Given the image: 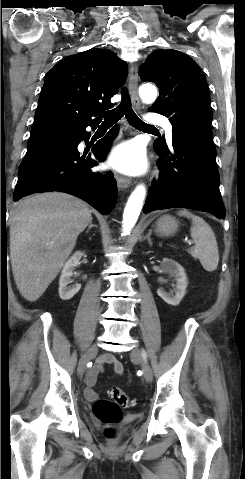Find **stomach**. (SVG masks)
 Listing matches in <instances>:
<instances>
[{
	"label": "stomach",
	"instance_id": "obj_1",
	"mask_svg": "<svg viewBox=\"0 0 245 479\" xmlns=\"http://www.w3.org/2000/svg\"><path fill=\"white\" fill-rule=\"evenodd\" d=\"M178 222L169 215L162 216L156 223V233L160 236H170L176 232Z\"/></svg>",
	"mask_w": 245,
	"mask_h": 479
}]
</instances>
